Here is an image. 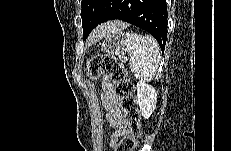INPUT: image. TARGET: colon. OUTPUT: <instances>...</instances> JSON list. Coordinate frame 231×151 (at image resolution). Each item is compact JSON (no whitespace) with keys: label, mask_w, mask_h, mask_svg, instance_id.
Masks as SVG:
<instances>
[{"label":"colon","mask_w":231,"mask_h":151,"mask_svg":"<svg viewBox=\"0 0 231 151\" xmlns=\"http://www.w3.org/2000/svg\"><path fill=\"white\" fill-rule=\"evenodd\" d=\"M87 73L91 79L101 75L110 78L113 93L119 99L124 120L128 126L126 133L117 141L115 151H133L141 137L140 112L134 95V84L127 76L124 66L111 55H96L87 63Z\"/></svg>","instance_id":"colon-1"}]
</instances>
